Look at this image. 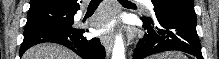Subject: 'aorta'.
Here are the masks:
<instances>
[{
    "instance_id": "obj_1",
    "label": "aorta",
    "mask_w": 219,
    "mask_h": 59,
    "mask_svg": "<svg viewBox=\"0 0 219 59\" xmlns=\"http://www.w3.org/2000/svg\"><path fill=\"white\" fill-rule=\"evenodd\" d=\"M112 59H125V47L121 35H117L112 52Z\"/></svg>"
}]
</instances>
